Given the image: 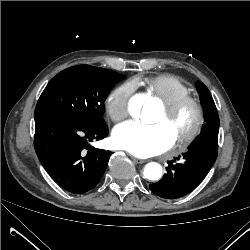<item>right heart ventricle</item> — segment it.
<instances>
[{"label": "right heart ventricle", "mask_w": 250, "mask_h": 250, "mask_svg": "<svg viewBox=\"0 0 250 250\" xmlns=\"http://www.w3.org/2000/svg\"><path fill=\"white\" fill-rule=\"evenodd\" d=\"M139 84L144 85L149 95L162 103L172 102L190 92L189 87L179 77L171 74L140 78L136 81V85Z\"/></svg>", "instance_id": "right-heart-ventricle-1"}]
</instances>
